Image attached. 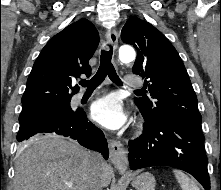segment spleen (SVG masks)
<instances>
[{"label":"spleen","mask_w":221,"mask_h":190,"mask_svg":"<svg viewBox=\"0 0 221 190\" xmlns=\"http://www.w3.org/2000/svg\"><path fill=\"white\" fill-rule=\"evenodd\" d=\"M182 190H200L196 183L180 170H173Z\"/></svg>","instance_id":"3e777b00"}]
</instances>
